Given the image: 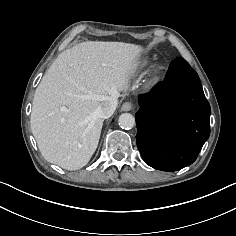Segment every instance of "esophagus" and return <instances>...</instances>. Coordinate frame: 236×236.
Segmentation results:
<instances>
[{
    "label": "esophagus",
    "mask_w": 236,
    "mask_h": 236,
    "mask_svg": "<svg viewBox=\"0 0 236 236\" xmlns=\"http://www.w3.org/2000/svg\"><path fill=\"white\" fill-rule=\"evenodd\" d=\"M131 109H132V104L130 102H125L121 107L122 111H130Z\"/></svg>",
    "instance_id": "34e87169"
}]
</instances>
